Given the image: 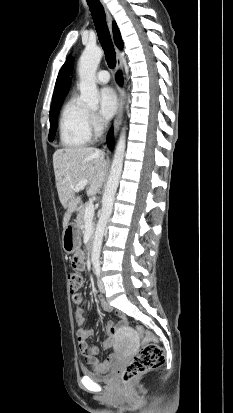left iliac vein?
<instances>
[{
  "label": "left iliac vein",
  "mask_w": 233,
  "mask_h": 413,
  "mask_svg": "<svg viewBox=\"0 0 233 413\" xmlns=\"http://www.w3.org/2000/svg\"><path fill=\"white\" fill-rule=\"evenodd\" d=\"M98 288L102 293H105V286H104V283L101 281L100 278H98Z\"/></svg>",
  "instance_id": "obj_1"
}]
</instances>
